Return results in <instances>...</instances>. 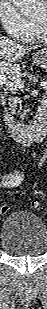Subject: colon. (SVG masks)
Masks as SVG:
<instances>
[{"instance_id": "colon-1", "label": "colon", "mask_w": 47, "mask_h": 309, "mask_svg": "<svg viewBox=\"0 0 47 309\" xmlns=\"http://www.w3.org/2000/svg\"><path fill=\"white\" fill-rule=\"evenodd\" d=\"M33 206L35 208H38L39 204L37 202H34ZM9 210H10V208L7 205H3V206L0 207V213L3 214V215L7 214L9 212Z\"/></svg>"}]
</instances>
